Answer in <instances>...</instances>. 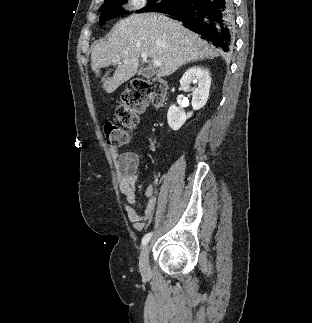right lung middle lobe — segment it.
<instances>
[{"label":"right lung middle lobe","instance_id":"1","mask_svg":"<svg viewBox=\"0 0 312 323\" xmlns=\"http://www.w3.org/2000/svg\"><path fill=\"white\" fill-rule=\"evenodd\" d=\"M126 0H113L112 2L103 4L101 7L100 22L104 24L107 20L117 17L125 13L121 8V2ZM181 0H148L147 6L137 10L136 13L142 12H159L162 9H167L175 6Z\"/></svg>","mask_w":312,"mask_h":323}]
</instances>
